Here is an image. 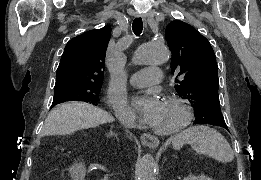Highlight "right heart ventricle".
Returning a JSON list of instances; mask_svg holds the SVG:
<instances>
[{"mask_svg":"<svg viewBox=\"0 0 261 180\" xmlns=\"http://www.w3.org/2000/svg\"><path fill=\"white\" fill-rule=\"evenodd\" d=\"M128 115L131 117V114H130V113H128Z\"/></svg>","mask_w":261,"mask_h":180,"instance_id":"right-heart-ventricle-1","label":"right heart ventricle"}]
</instances>
